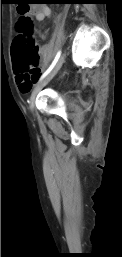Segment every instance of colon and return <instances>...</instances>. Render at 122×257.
I'll list each match as a JSON object with an SVG mask.
<instances>
[{
  "label": "colon",
  "instance_id": "colon-1",
  "mask_svg": "<svg viewBox=\"0 0 122 257\" xmlns=\"http://www.w3.org/2000/svg\"><path fill=\"white\" fill-rule=\"evenodd\" d=\"M15 10L25 15L29 10H33V5H15ZM18 29L20 34L14 38L11 47L12 61L16 72L30 80L40 73L38 46L27 17L20 20Z\"/></svg>",
  "mask_w": 122,
  "mask_h": 257
}]
</instances>
